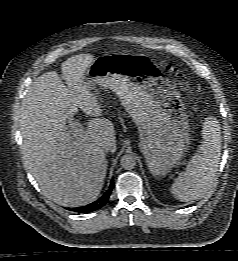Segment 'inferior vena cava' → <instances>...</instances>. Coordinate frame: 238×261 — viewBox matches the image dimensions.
Listing matches in <instances>:
<instances>
[{"label":"inferior vena cava","mask_w":238,"mask_h":261,"mask_svg":"<svg viewBox=\"0 0 238 261\" xmlns=\"http://www.w3.org/2000/svg\"><path fill=\"white\" fill-rule=\"evenodd\" d=\"M102 150L105 151V152H108V151L110 150L109 144L104 143V144L102 145Z\"/></svg>","instance_id":"602c4592"}]
</instances>
